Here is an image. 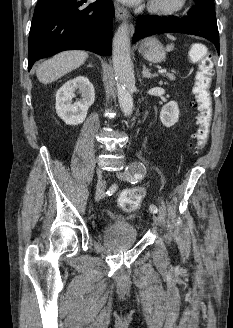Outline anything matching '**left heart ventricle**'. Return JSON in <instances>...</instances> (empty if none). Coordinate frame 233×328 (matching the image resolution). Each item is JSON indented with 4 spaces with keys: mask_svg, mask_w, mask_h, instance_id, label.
Returning <instances> with one entry per match:
<instances>
[{
    "mask_svg": "<svg viewBox=\"0 0 233 328\" xmlns=\"http://www.w3.org/2000/svg\"><path fill=\"white\" fill-rule=\"evenodd\" d=\"M159 1H167V0H159Z\"/></svg>",
    "mask_w": 233,
    "mask_h": 328,
    "instance_id": "left-heart-ventricle-1",
    "label": "left heart ventricle"
}]
</instances>
